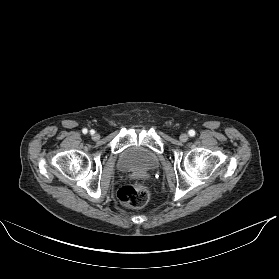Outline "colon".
Wrapping results in <instances>:
<instances>
[{"label":"colon","mask_w":279,"mask_h":279,"mask_svg":"<svg viewBox=\"0 0 279 279\" xmlns=\"http://www.w3.org/2000/svg\"><path fill=\"white\" fill-rule=\"evenodd\" d=\"M117 199L128 208H142L149 200L150 189L142 183L124 185L116 193Z\"/></svg>","instance_id":"5ec220e1"}]
</instances>
